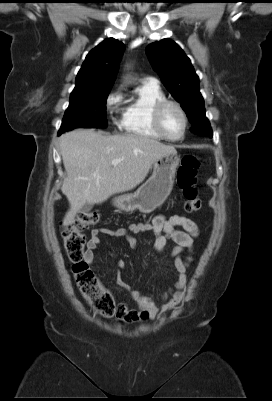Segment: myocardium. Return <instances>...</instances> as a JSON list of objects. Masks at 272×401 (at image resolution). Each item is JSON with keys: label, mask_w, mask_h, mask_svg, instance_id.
Here are the masks:
<instances>
[{"label": "myocardium", "mask_w": 272, "mask_h": 401, "mask_svg": "<svg viewBox=\"0 0 272 401\" xmlns=\"http://www.w3.org/2000/svg\"><path fill=\"white\" fill-rule=\"evenodd\" d=\"M170 106L175 107L180 112V114L183 118V131H182V134L177 138L169 136L163 126V120H162L163 114H164L165 110ZM152 120H153V124H154V127L157 130V132L164 139H166L168 141H172V142L181 141L184 139V137L187 133L188 116H187L184 108L182 107V105L177 101L164 99V100L160 101L159 103H157V105L154 107V110H153Z\"/></svg>", "instance_id": "obj_1"}]
</instances>
